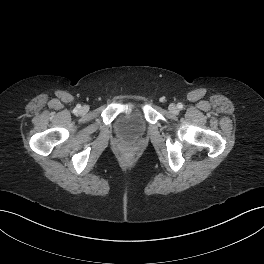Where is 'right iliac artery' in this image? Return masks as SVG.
I'll return each mask as SVG.
<instances>
[{"mask_svg": "<svg viewBox=\"0 0 264 264\" xmlns=\"http://www.w3.org/2000/svg\"><path fill=\"white\" fill-rule=\"evenodd\" d=\"M79 108H80V105L77 106V109H79Z\"/></svg>", "mask_w": 264, "mask_h": 264, "instance_id": "right-iliac-artery-1", "label": "right iliac artery"}]
</instances>
